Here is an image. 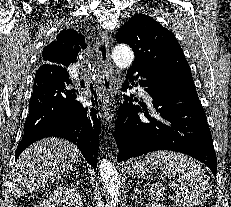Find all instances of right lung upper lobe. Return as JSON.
Masks as SVG:
<instances>
[{
    "label": "right lung upper lobe",
    "mask_w": 231,
    "mask_h": 207,
    "mask_svg": "<svg viewBox=\"0 0 231 207\" xmlns=\"http://www.w3.org/2000/svg\"><path fill=\"white\" fill-rule=\"evenodd\" d=\"M84 42L85 39L70 38L59 33L57 41H53L43 50L41 59L44 66H67L76 62L80 46H85Z\"/></svg>",
    "instance_id": "obj_1"
}]
</instances>
